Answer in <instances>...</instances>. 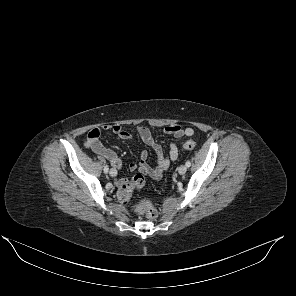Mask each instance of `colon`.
I'll use <instances>...</instances> for the list:
<instances>
[{
    "mask_svg": "<svg viewBox=\"0 0 296 296\" xmlns=\"http://www.w3.org/2000/svg\"><path fill=\"white\" fill-rule=\"evenodd\" d=\"M196 147V143L192 140H188L183 144L185 150H192ZM145 183L144 174L139 173L133 177L130 182L124 183L118 191V198L122 203H127L130 200L132 191L135 188H140ZM132 210L137 215H144L147 218H155L158 214L157 208L151 201L144 199L135 204Z\"/></svg>",
    "mask_w": 296,
    "mask_h": 296,
    "instance_id": "obj_1",
    "label": "colon"
}]
</instances>
